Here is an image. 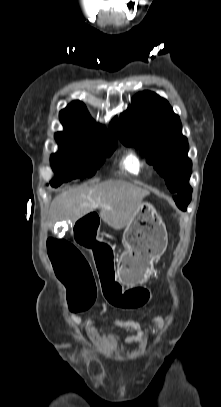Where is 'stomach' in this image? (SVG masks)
<instances>
[{
	"label": "stomach",
	"instance_id": "0dacf381",
	"mask_svg": "<svg viewBox=\"0 0 221 407\" xmlns=\"http://www.w3.org/2000/svg\"><path fill=\"white\" fill-rule=\"evenodd\" d=\"M167 231L161 216L149 202H141L123 233L125 250L117 261L119 280L128 286L143 283L152 273L153 262L167 247Z\"/></svg>",
	"mask_w": 221,
	"mask_h": 407
}]
</instances>
